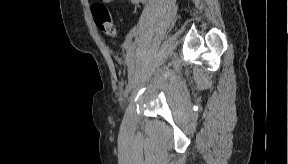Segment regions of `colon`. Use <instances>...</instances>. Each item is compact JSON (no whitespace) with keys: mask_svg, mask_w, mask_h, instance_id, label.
<instances>
[{"mask_svg":"<svg viewBox=\"0 0 288 164\" xmlns=\"http://www.w3.org/2000/svg\"><path fill=\"white\" fill-rule=\"evenodd\" d=\"M93 19L97 27L106 35L115 36L114 24L109 9L102 3L92 7Z\"/></svg>","mask_w":288,"mask_h":164,"instance_id":"1","label":"colon"}]
</instances>
